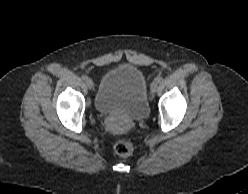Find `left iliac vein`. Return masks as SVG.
I'll list each match as a JSON object with an SVG mask.
<instances>
[{"label": "left iliac vein", "instance_id": "4c4485c4", "mask_svg": "<svg viewBox=\"0 0 248 194\" xmlns=\"http://www.w3.org/2000/svg\"><path fill=\"white\" fill-rule=\"evenodd\" d=\"M150 89H151V92H152V93H156V92L158 91V89H159V86H158L157 82H153V83L151 84Z\"/></svg>", "mask_w": 248, "mask_h": 194}]
</instances>
